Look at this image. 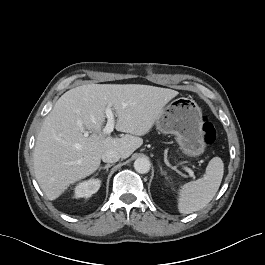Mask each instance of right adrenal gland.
<instances>
[{
  "label": "right adrenal gland",
  "instance_id": "right-adrenal-gland-1",
  "mask_svg": "<svg viewBox=\"0 0 265 265\" xmlns=\"http://www.w3.org/2000/svg\"><path fill=\"white\" fill-rule=\"evenodd\" d=\"M112 166V164H106L105 166H100L98 171L100 172L102 169H105L106 172H108L109 168Z\"/></svg>",
  "mask_w": 265,
  "mask_h": 265
}]
</instances>
